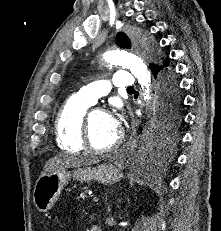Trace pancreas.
<instances>
[{"instance_id": "1", "label": "pancreas", "mask_w": 221, "mask_h": 231, "mask_svg": "<svg viewBox=\"0 0 221 231\" xmlns=\"http://www.w3.org/2000/svg\"><path fill=\"white\" fill-rule=\"evenodd\" d=\"M86 188H83V191L80 193L78 200L84 201L88 196L86 194L87 190H85Z\"/></svg>"}]
</instances>
